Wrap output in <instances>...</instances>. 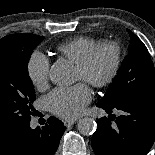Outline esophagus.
Masks as SVG:
<instances>
[{
  "mask_svg": "<svg viewBox=\"0 0 155 155\" xmlns=\"http://www.w3.org/2000/svg\"><path fill=\"white\" fill-rule=\"evenodd\" d=\"M77 119H66L64 120V125L66 127H69L71 125H74L76 123Z\"/></svg>",
  "mask_w": 155,
  "mask_h": 155,
  "instance_id": "34e87169",
  "label": "esophagus"
}]
</instances>
